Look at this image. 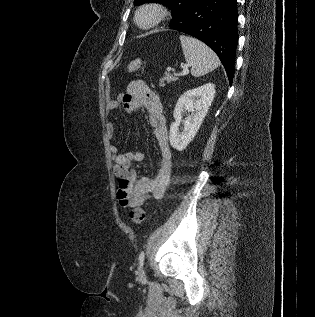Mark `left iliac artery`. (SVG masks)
Wrapping results in <instances>:
<instances>
[{
  "label": "left iliac artery",
  "mask_w": 315,
  "mask_h": 317,
  "mask_svg": "<svg viewBox=\"0 0 315 317\" xmlns=\"http://www.w3.org/2000/svg\"><path fill=\"white\" fill-rule=\"evenodd\" d=\"M144 257H145V253L144 251H142L139 255L140 266L143 265Z\"/></svg>",
  "instance_id": "obj_1"
}]
</instances>
